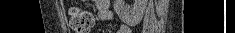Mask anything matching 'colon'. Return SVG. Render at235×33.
Instances as JSON below:
<instances>
[{"mask_svg": "<svg viewBox=\"0 0 235 33\" xmlns=\"http://www.w3.org/2000/svg\"><path fill=\"white\" fill-rule=\"evenodd\" d=\"M69 24L75 33H89L93 25V16L88 11L72 8Z\"/></svg>", "mask_w": 235, "mask_h": 33, "instance_id": "colon-1", "label": "colon"}]
</instances>
